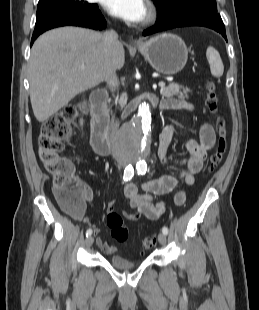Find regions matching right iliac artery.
I'll use <instances>...</instances> for the list:
<instances>
[{
    "label": "right iliac artery",
    "instance_id": "right-iliac-artery-1",
    "mask_svg": "<svg viewBox=\"0 0 259 310\" xmlns=\"http://www.w3.org/2000/svg\"><path fill=\"white\" fill-rule=\"evenodd\" d=\"M134 175V169L132 167V165H129L125 168L124 170V175H123V180L124 181H128V180H131V178L133 177ZM92 234V230L91 229H88L86 231V236H90Z\"/></svg>",
    "mask_w": 259,
    "mask_h": 310
}]
</instances>
